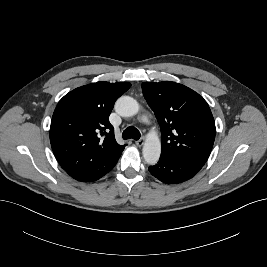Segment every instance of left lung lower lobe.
<instances>
[{
  "label": "left lung lower lobe",
  "mask_w": 267,
  "mask_h": 267,
  "mask_svg": "<svg viewBox=\"0 0 267 267\" xmlns=\"http://www.w3.org/2000/svg\"><path fill=\"white\" fill-rule=\"evenodd\" d=\"M202 167L193 161L160 156L158 164L149 167V171L166 184H177L194 177Z\"/></svg>",
  "instance_id": "1"
}]
</instances>
